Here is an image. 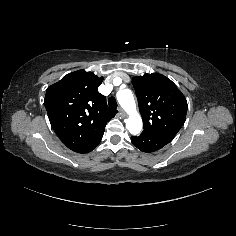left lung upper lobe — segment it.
Instances as JSON below:
<instances>
[{
	"label": "left lung upper lobe",
	"mask_w": 236,
	"mask_h": 236,
	"mask_svg": "<svg viewBox=\"0 0 236 236\" xmlns=\"http://www.w3.org/2000/svg\"><path fill=\"white\" fill-rule=\"evenodd\" d=\"M132 84L144 122L142 133L174 138L186 119L187 101L182 92L158 73L133 77Z\"/></svg>",
	"instance_id": "1"
}]
</instances>
